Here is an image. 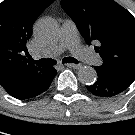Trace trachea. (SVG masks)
Returning a JSON list of instances; mask_svg holds the SVG:
<instances>
[{
  "label": "trachea",
  "mask_w": 135,
  "mask_h": 135,
  "mask_svg": "<svg viewBox=\"0 0 135 135\" xmlns=\"http://www.w3.org/2000/svg\"><path fill=\"white\" fill-rule=\"evenodd\" d=\"M38 67L52 66L56 64L54 59H40L38 61L31 59ZM62 63H79L77 59L73 57H65L62 59Z\"/></svg>",
  "instance_id": "3493384b"
}]
</instances>
